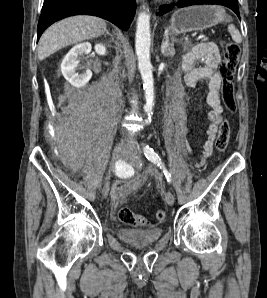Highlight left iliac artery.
I'll use <instances>...</instances> for the list:
<instances>
[{
	"label": "left iliac artery",
	"instance_id": "obj_1",
	"mask_svg": "<svg viewBox=\"0 0 267 298\" xmlns=\"http://www.w3.org/2000/svg\"><path fill=\"white\" fill-rule=\"evenodd\" d=\"M144 154L145 157L151 161L152 163L156 164L160 169L163 170V173L166 177V180L168 183H171V174L168 172V170L165 168L164 164L161 161V158L159 155L151 148L149 145L145 144L144 146Z\"/></svg>",
	"mask_w": 267,
	"mask_h": 298
}]
</instances>
